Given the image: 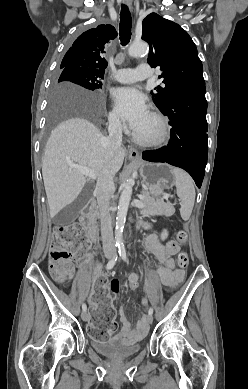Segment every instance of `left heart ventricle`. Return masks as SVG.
Returning <instances> with one entry per match:
<instances>
[{"mask_svg": "<svg viewBox=\"0 0 248 389\" xmlns=\"http://www.w3.org/2000/svg\"><path fill=\"white\" fill-rule=\"evenodd\" d=\"M139 136L144 138H153L159 132L158 123L148 114L142 124L134 130Z\"/></svg>", "mask_w": 248, "mask_h": 389, "instance_id": "left-heart-ventricle-1", "label": "left heart ventricle"}]
</instances>
